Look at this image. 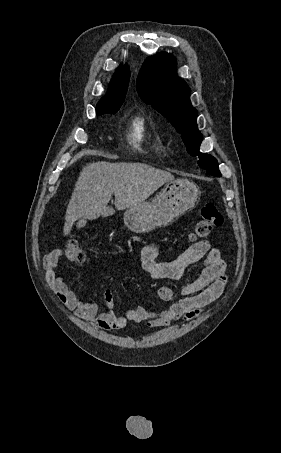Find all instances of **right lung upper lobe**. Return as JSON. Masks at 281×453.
<instances>
[{
    "label": "right lung upper lobe",
    "instance_id": "obj_1",
    "mask_svg": "<svg viewBox=\"0 0 281 453\" xmlns=\"http://www.w3.org/2000/svg\"><path fill=\"white\" fill-rule=\"evenodd\" d=\"M129 78V67L127 65L123 66L121 64L113 76L107 94L96 106L97 115L111 113L119 110L126 96Z\"/></svg>",
    "mask_w": 281,
    "mask_h": 453
}]
</instances>
